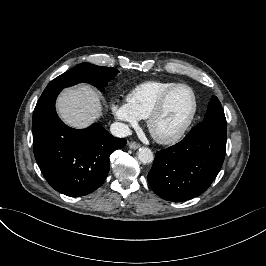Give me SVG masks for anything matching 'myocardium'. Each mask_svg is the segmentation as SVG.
I'll list each match as a JSON object with an SVG mask.
<instances>
[{
	"mask_svg": "<svg viewBox=\"0 0 266 266\" xmlns=\"http://www.w3.org/2000/svg\"><path fill=\"white\" fill-rule=\"evenodd\" d=\"M179 87H187L191 91V93L193 95V99H194L193 112H192L190 118L188 119V121L186 122V124L176 134H174L172 136L158 135L153 130V122L164 110V107H165L169 97ZM198 111H199V100H198V96H197L195 89L188 83L179 82L176 85H174L173 87L169 88L167 91H165L162 94V96L159 98V100L157 101L155 106L152 108V110L150 111V113L148 114V117H147V128H148L150 134L152 135V137L157 142L162 143V144H173V143L178 142L187 133V131L191 128V126L193 125V123L196 119Z\"/></svg>",
	"mask_w": 266,
	"mask_h": 266,
	"instance_id": "myocardium-1",
	"label": "myocardium"
}]
</instances>
